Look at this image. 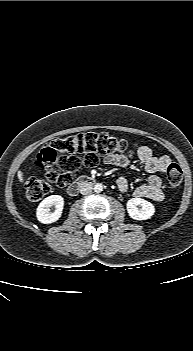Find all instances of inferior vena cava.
<instances>
[{
	"label": "inferior vena cava",
	"instance_id": "602c4592",
	"mask_svg": "<svg viewBox=\"0 0 193 351\" xmlns=\"http://www.w3.org/2000/svg\"><path fill=\"white\" fill-rule=\"evenodd\" d=\"M92 185L91 183L85 182L80 186V193L82 195H87L90 194L92 192Z\"/></svg>",
	"mask_w": 193,
	"mask_h": 351
}]
</instances>
